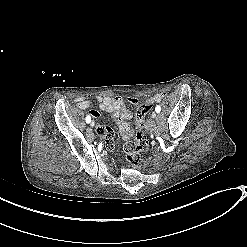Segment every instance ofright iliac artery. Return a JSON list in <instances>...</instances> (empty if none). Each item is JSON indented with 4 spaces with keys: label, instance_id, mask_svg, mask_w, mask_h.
Returning a JSON list of instances; mask_svg holds the SVG:
<instances>
[{
    "label": "right iliac artery",
    "instance_id": "obj_1",
    "mask_svg": "<svg viewBox=\"0 0 247 247\" xmlns=\"http://www.w3.org/2000/svg\"><path fill=\"white\" fill-rule=\"evenodd\" d=\"M86 122L87 123H90L91 122V117L88 115V116H86Z\"/></svg>",
    "mask_w": 247,
    "mask_h": 247
}]
</instances>
